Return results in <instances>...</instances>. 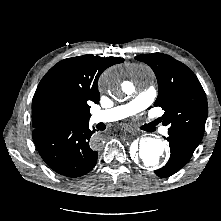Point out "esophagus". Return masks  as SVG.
Returning a JSON list of instances; mask_svg holds the SVG:
<instances>
[{
	"label": "esophagus",
	"instance_id": "obj_1",
	"mask_svg": "<svg viewBox=\"0 0 221 221\" xmlns=\"http://www.w3.org/2000/svg\"><path fill=\"white\" fill-rule=\"evenodd\" d=\"M125 135H126L127 137H132V136H135L136 133L133 132V131H126V132H125Z\"/></svg>",
	"mask_w": 221,
	"mask_h": 221
}]
</instances>
